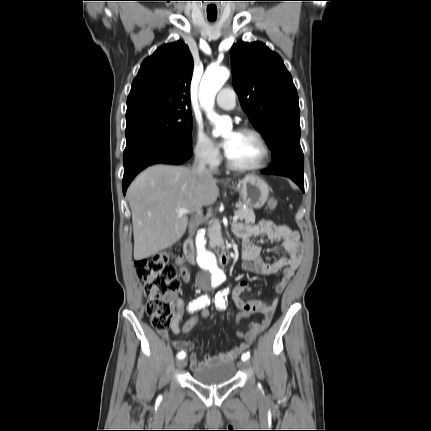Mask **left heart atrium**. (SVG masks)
<instances>
[{"mask_svg":"<svg viewBox=\"0 0 431 431\" xmlns=\"http://www.w3.org/2000/svg\"><path fill=\"white\" fill-rule=\"evenodd\" d=\"M235 134V132L233 133ZM233 135L230 137L225 138V140L222 142V147L224 148L225 152L227 153L230 149L231 143H232Z\"/></svg>","mask_w":431,"mask_h":431,"instance_id":"left-heart-atrium-1","label":"left heart atrium"}]
</instances>
